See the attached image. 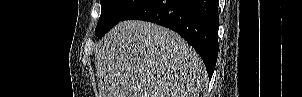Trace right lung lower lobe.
I'll return each mask as SVG.
<instances>
[{
	"label": "right lung lower lobe",
	"instance_id": "obj_1",
	"mask_svg": "<svg viewBox=\"0 0 302 97\" xmlns=\"http://www.w3.org/2000/svg\"><path fill=\"white\" fill-rule=\"evenodd\" d=\"M218 0H142L122 19L168 27L201 56L211 79L218 55Z\"/></svg>",
	"mask_w": 302,
	"mask_h": 97
}]
</instances>
